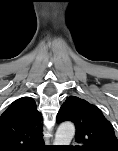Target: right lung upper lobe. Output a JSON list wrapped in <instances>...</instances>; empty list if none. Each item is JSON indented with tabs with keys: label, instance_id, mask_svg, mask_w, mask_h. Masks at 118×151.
Segmentation results:
<instances>
[{
	"label": "right lung upper lobe",
	"instance_id": "cb5924a9",
	"mask_svg": "<svg viewBox=\"0 0 118 151\" xmlns=\"http://www.w3.org/2000/svg\"><path fill=\"white\" fill-rule=\"evenodd\" d=\"M42 116L31 97L14 101L0 116V151H32L43 144Z\"/></svg>",
	"mask_w": 118,
	"mask_h": 151
}]
</instances>
